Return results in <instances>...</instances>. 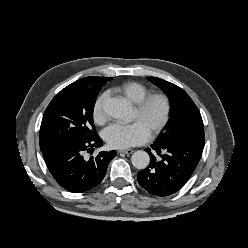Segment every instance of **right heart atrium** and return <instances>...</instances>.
Returning a JSON list of instances; mask_svg holds the SVG:
<instances>
[{"mask_svg": "<svg viewBox=\"0 0 248 248\" xmlns=\"http://www.w3.org/2000/svg\"><path fill=\"white\" fill-rule=\"evenodd\" d=\"M106 97L107 94L103 93L96 99L94 103L92 117L96 124H104L107 120V115L104 108Z\"/></svg>", "mask_w": 248, "mask_h": 248, "instance_id": "right-heart-atrium-1", "label": "right heart atrium"}]
</instances>
